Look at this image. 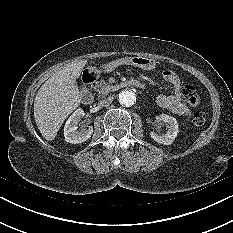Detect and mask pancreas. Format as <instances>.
I'll return each instance as SVG.
<instances>
[{"instance_id": "pancreas-1", "label": "pancreas", "mask_w": 233, "mask_h": 233, "mask_svg": "<svg viewBox=\"0 0 233 233\" xmlns=\"http://www.w3.org/2000/svg\"><path fill=\"white\" fill-rule=\"evenodd\" d=\"M94 89L98 93V97L103 98L109 94V92L112 90V86L109 85L105 80H100Z\"/></svg>"}]
</instances>
